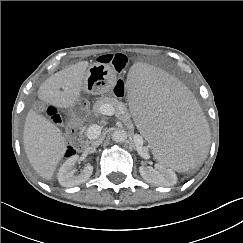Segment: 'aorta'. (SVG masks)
<instances>
[{
  "mask_svg": "<svg viewBox=\"0 0 243 243\" xmlns=\"http://www.w3.org/2000/svg\"><path fill=\"white\" fill-rule=\"evenodd\" d=\"M112 139L117 143H123L127 140V133L123 129H117L113 131Z\"/></svg>",
  "mask_w": 243,
  "mask_h": 243,
  "instance_id": "762f6f07",
  "label": "aorta"
}]
</instances>
